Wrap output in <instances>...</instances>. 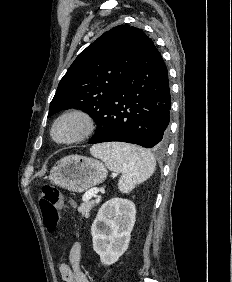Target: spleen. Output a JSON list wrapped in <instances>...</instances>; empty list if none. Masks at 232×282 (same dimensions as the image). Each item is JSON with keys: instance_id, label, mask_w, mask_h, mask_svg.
<instances>
[{"instance_id": "1", "label": "spleen", "mask_w": 232, "mask_h": 282, "mask_svg": "<svg viewBox=\"0 0 232 282\" xmlns=\"http://www.w3.org/2000/svg\"><path fill=\"white\" fill-rule=\"evenodd\" d=\"M90 152L102 159L110 170L122 173L118 182L122 193H129L150 178L156 168L153 154L135 145L107 143L92 147Z\"/></svg>"}]
</instances>
